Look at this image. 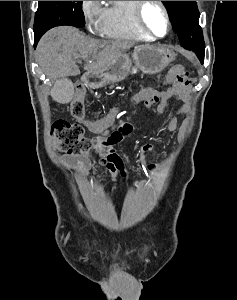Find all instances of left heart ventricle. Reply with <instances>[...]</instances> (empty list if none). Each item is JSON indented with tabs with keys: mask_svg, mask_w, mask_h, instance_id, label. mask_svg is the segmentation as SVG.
<instances>
[{
	"mask_svg": "<svg viewBox=\"0 0 237 300\" xmlns=\"http://www.w3.org/2000/svg\"><path fill=\"white\" fill-rule=\"evenodd\" d=\"M145 21L150 29L157 35H163L166 31V22L160 6L156 3H149L145 10Z\"/></svg>",
	"mask_w": 237,
	"mask_h": 300,
	"instance_id": "1",
	"label": "left heart ventricle"
}]
</instances>
